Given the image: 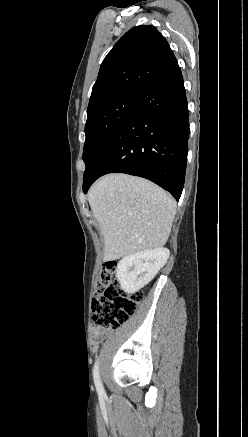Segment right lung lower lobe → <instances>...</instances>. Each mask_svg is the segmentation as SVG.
Segmentation results:
<instances>
[{
  "label": "right lung lower lobe",
  "mask_w": 248,
  "mask_h": 437,
  "mask_svg": "<svg viewBox=\"0 0 248 437\" xmlns=\"http://www.w3.org/2000/svg\"><path fill=\"white\" fill-rule=\"evenodd\" d=\"M189 138L188 103L176 58L138 94L129 114L84 177L83 191L107 173L147 178L179 200Z\"/></svg>",
  "instance_id": "1"
}]
</instances>
